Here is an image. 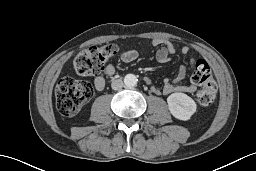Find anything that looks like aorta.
I'll return each instance as SVG.
<instances>
[{
  "instance_id": "762f6f07",
  "label": "aorta",
  "mask_w": 256,
  "mask_h": 171,
  "mask_svg": "<svg viewBox=\"0 0 256 171\" xmlns=\"http://www.w3.org/2000/svg\"><path fill=\"white\" fill-rule=\"evenodd\" d=\"M138 79L134 74H127L124 77V84L129 87L133 88L137 85Z\"/></svg>"
}]
</instances>
